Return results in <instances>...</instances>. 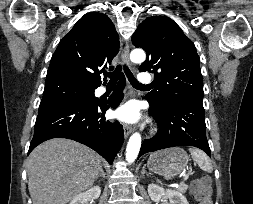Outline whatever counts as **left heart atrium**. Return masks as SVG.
I'll return each instance as SVG.
<instances>
[{"mask_svg":"<svg viewBox=\"0 0 253 204\" xmlns=\"http://www.w3.org/2000/svg\"><path fill=\"white\" fill-rule=\"evenodd\" d=\"M115 117L126 124L136 123L140 119V111L135 103H126L116 110Z\"/></svg>","mask_w":253,"mask_h":204,"instance_id":"1","label":"left heart atrium"}]
</instances>
